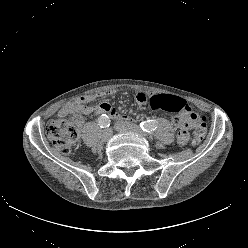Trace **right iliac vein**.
Instances as JSON below:
<instances>
[{
  "mask_svg": "<svg viewBox=\"0 0 248 248\" xmlns=\"http://www.w3.org/2000/svg\"><path fill=\"white\" fill-rule=\"evenodd\" d=\"M112 136V131L110 129H105L102 133V139L108 141Z\"/></svg>",
  "mask_w": 248,
  "mask_h": 248,
  "instance_id": "1",
  "label": "right iliac vein"
}]
</instances>
